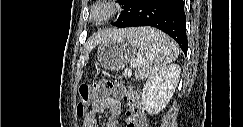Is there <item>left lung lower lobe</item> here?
I'll use <instances>...</instances> for the list:
<instances>
[{
  "label": "left lung lower lobe",
  "instance_id": "1",
  "mask_svg": "<svg viewBox=\"0 0 243 127\" xmlns=\"http://www.w3.org/2000/svg\"><path fill=\"white\" fill-rule=\"evenodd\" d=\"M125 10L120 14L115 26H152L156 27L179 44L187 54L186 16L183 0H128Z\"/></svg>",
  "mask_w": 243,
  "mask_h": 127
}]
</instances>
